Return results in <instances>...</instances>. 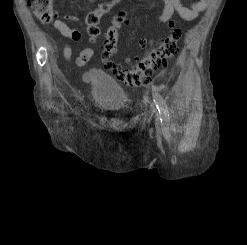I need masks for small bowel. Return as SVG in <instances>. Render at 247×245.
<instances>
[{
    "instance_id": "c3829d8e",
    "label": "small bowel",
    "mask_w": 247,
    "mask_h": 245,
    "mask_svg": "<svg viewBox=\"0 0 247 245\" xmlns=\"http://www.w3.org/2000/svg\"><path fill=\"white\" fill-rule=\"evenodd\" d=\"M93 2L95 0H88ZM208 0H197L191 5L186 6L182 3V0H163V8L157 15V20L160 23L169 22L171 17L176 13L182 19L191 21L198 17V15L204 11L207 7ZM64 20L70 22L78 21V17L74 15H64L63 18L59 14L55 15L54 28L64 37H67L73 41H79L81 39V32L71 28ZM125 20V13L120 12L115 17L112 26L107 31H114L118 34V38L121 36V27ZM63 55L66 60H70L72 56V49L69 45H65L63 48ZM94 56V50L91 48L83 49L76 58V65L78 67L85 66Z\"/></svg>"
}]
</instances>
